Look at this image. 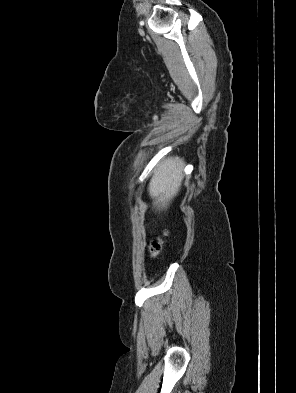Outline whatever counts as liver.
Wrapping results in <instances>:
<instances>
[{"label": "liver", "instance_id": "6515ba94", "mask_svg": "<svg viewBox=\"0 0 296 393\" xmlns=\"http://www.w3.org/2000/svg\"><path fill=\"white\" fill-rule=\"evenodd\" d=\"M184 161L179 157L164 159L154 170L149 183V194L158 210L166 209L177 195L181 182Z\"/></svg>", "mask_w": 296, "mask_h": 393}]
</instances>
